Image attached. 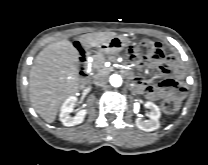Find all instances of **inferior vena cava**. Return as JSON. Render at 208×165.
Wrapping results in <instances>:
<instances>
[{"label": "inferior vena cava", "mask_w": 208, "mask_h": 165, "mask_svg": "<svg viewBox=\"0 0 208 165\" xmlns=\"http://www.w3.org/2000/svg\"><path fill=\"white\" fill-rule=\"evenodd\" d=\"M107 80L104 76H98L95 78V80L93 81V83L97 86H101L106 84Z\"/></svg>", "instance_id": "602c4592"}]
</instances>
